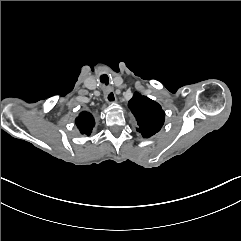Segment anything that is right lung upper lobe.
<instances>
[{"label":"right lung upper lobe","instance_id":"right-lung-upper-lobe-1","mask_svg":"<svg viewBox=\"0 0 241 241\" xmlns=\"http://www.w3.org/2000/svg\"><path fill=\"white\" fill-rule=\"evenodd\" d=\"M76 125L82 134L90 135L95 125L94 118L90 113L84 111L76 118Z\"/></svg>","mask_w":241,"mask_h":241}]
</instances>
